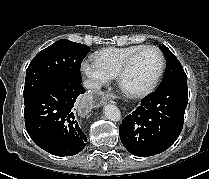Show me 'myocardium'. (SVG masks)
Listing matches in <instances>:
<instances>
[{"mask_svg":"<svg viewBox=\"0 0 209 179\" xmlns=\"http://www.w3.org/2000/svg\"><path fill=\"white\" fill-rule=\"evenodd\" d=\"M149 49H153L155 51L158 52L159 56H160V68L159 71L156 75V77L154 78V80L144 89H141L139 91H134V92H129L126 91L123 87V79L126 76V74L128 73V71L131 69V67L133 66L134 62L136 61V59L146 50ZM165 67H166V59L164 56V53L162 52V50L154 45H146L144 47H142L141 49H139L138 51H136L135 53H133L122 65V67L120 68V70L118 71L117 75H116V82L118 87L120 88V90L127 95L130 98H142L145 97L149 94H151L157 87V85L159 84L164 71H165Z\"/></svg>","mask_w":209,"mask_h":179,"instance_id":"1","label":"myocardium"}]
</instances>
